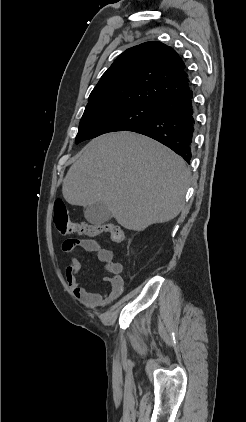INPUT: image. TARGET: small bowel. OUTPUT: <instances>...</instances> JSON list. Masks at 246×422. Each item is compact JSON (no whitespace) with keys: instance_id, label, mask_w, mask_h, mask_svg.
<instances>
[{"instance_id":"small-bowel-1","label":"small bowel","mask_w":246,"mask_h":422,"mask_svg":"<svg viewBox=\"0 0 246 422\" xmlns=\"http://www.w3.org/2000/svg\"><path fill=\"white\" fill-rule=\"evenodd\" d=\"M62 248L69 255V265L66 268L65 277L76 298L88 306L101 307L111 304L122 294L124 289V282L121 276L122 265L114 261V255L111 250L102 247L99 242L92 239H67L64 241ZM77 248L94 253L96 258L105 264L106 270L110 274L105 279L109 285L107 292H90L79 282L78 275L81 270V263L75 255Z\"/></svg>"}]
</instances>
